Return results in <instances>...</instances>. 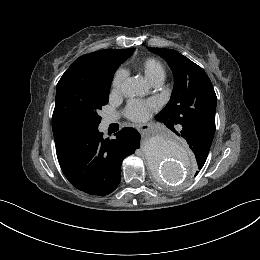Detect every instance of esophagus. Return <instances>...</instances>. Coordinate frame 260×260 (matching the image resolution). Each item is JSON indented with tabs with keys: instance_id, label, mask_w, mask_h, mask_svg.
<instances>
[{
	"instance_id": "obj_1",
	"label": "esophagus",
	"mask_w": 260,
	"mask_h": 260,
	"mask_svg": "<svg viewBox=\"0 0 260 260\" xmlns=\"http://www.w3.org/2000/svg\"><path fill=\"white\" fill-rule=\"evenodd\" d=\"M138 130H140L141 132H148L150 129V125L149 124H138L137 125Z\"/></svg>"
}]
</instances>
